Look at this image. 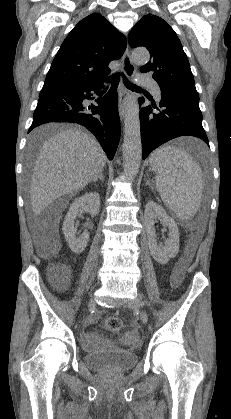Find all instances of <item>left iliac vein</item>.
<instances>
[{
    "label": "left iliac vein",
    "mask_w": 231,
    "mask_h": 419,
    "mask_svg": "<svg viewBox=\"0 0 231 419\" xmlns=\"http://www.w3.org/2000/svg\"><path fill=\"white\" fill-rule=\"evenodd\" d=\"M141 305H142V302L139 297L127 303V307L134 310L135 312H138L141 321L146 324L148 322V315L144 310L141 309Z\"/></svg>",
    "instance_id": "left-iliac-vein-1"
}]
</instances>
